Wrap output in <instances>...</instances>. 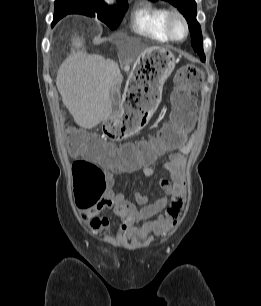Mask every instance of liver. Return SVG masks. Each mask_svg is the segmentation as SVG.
Returning a JSON list of instances; mask_svg holds the SVG:
<instances>
[{"label": "liver", "instance_id": "1", "mask_svg": "<svg viewBox=\"0 0 261 306\" xmlns=\"http://www.w3.org/2000/svg\"><path fill=\"white\" fill-rule=\"evenodd\" d=\"M72 46L58 69L56 86L74 121L90 129L110 117L111 90L121 86L123 77L114 61L87 54L79 37Z\"/></svg>", "mask_w": 261, "mask_h": 306}]
</instances>
